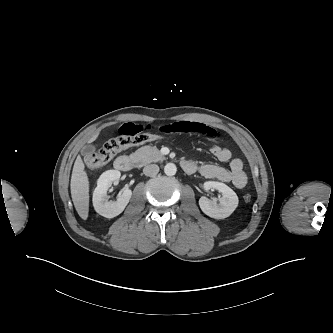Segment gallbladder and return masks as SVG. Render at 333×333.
<instances>
[{
  "label": "gallbladder",
  "mask_w": 333,
  "mask_h": 333,
  "mask_svg": "<svg viewBox=\"0 0 333 333\" xmlns=\"http://www.w3.org/2000/svg\"><path fill=\"white\" fill-rule=\"evenodd\" d=\"M94 151H95V148L93 146L87 145V146L83 147L81 152L84 156H87V155L93 153Z\"/></svg>",
  "instance_id": "obj_1"
}]
</instances>
